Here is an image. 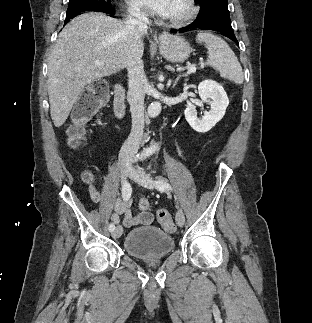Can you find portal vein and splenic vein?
I'll return each instance as SVG.
<instances>
[{
	"label": "portal vein and splenic vein",
	"mask_w": 312,
	"mask_h": 323,
	"mask_svg": "<svg viewBox=\"0 0 312 323\" xmlns=\"http://www.w3.org/2000/svg\"><path fill=\"white\" fill-rule=\"evenodd\" d=\"M94 66H103L102 62H95ZM201 66H204V64H201ZM196 72L195 66H191V68H188L187 74H194Z\"/></svg>",
	"instance_id": "18ae733b"
}]
</instances>
